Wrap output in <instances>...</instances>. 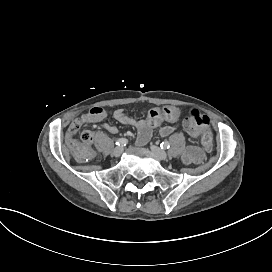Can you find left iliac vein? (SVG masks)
Returning <instances> with one entry per match:
<instances>
[{"mask_svg": "<svg viewBox=\"0 0 272 272\" xmlns=\"http://www.w3.org/2000/svg\"><path fill=\"white\" fill-rule=\"evenodd\" d=\"M150 149L158 159L166 160L168 158L167 153L165 151H163L160 147H157L155 145H151Z\"/></svg>", "mask_w": 272, "mask_h": 272, "instance_id": "4c4485c4", "label": "left iliac vein"}]
</instances>
